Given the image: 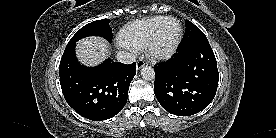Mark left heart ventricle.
Here are the masks:
<instances>
[{"instance_id":"obj_1","label":"left heart ventricle","mask_w":276,"mask_h":138,"mask_svg":"<svg viewBox=\"0 0 276 138\" xmlns=\"http://www.w3.org/2000/svg\"><path fill=\"white\" fill-rule=\"evenodd\" d=\"M178 32H179L178 23L174 20L169 21L163 29L161 39H160V44L165 47L169 46L176 38Z\"/></svg>"}]
</instances>
